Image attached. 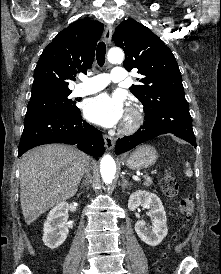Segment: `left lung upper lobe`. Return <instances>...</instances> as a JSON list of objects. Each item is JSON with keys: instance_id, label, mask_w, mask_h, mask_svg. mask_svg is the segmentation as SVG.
Masks as SVG:
<instances>
[{"instance_id": "left-lung-upper-lobe-1", "label": "left lung upper lobe", "mask_w": 221, "mask_h": 274, "mask_svg": "<svg viewBox=\"0 0 221 274\" xmlns=\"http://www.w3.org/2000/svg\"><path fill=\"white\" fill-rule=\"evenodd\" d=\"M125 52L123 66L142 76L130 91L144 112L185 100L182 76L171 50L151 30L135 20H124L112 38Z\"/></svg>"}]
</instances>
